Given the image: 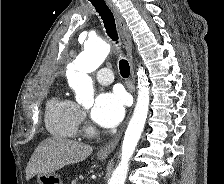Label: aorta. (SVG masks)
Returning a JSON list of instances; mask_svg holds the SVG:
<instances>
[{
	"instance_id": "762f6f07",
	"label": "aorta",
	"mask_w": 224,
	"mask_h": 184,
	"mask_svg": "<svg viewBox=\"0 0 224 184\" xmlns=\"http://www.w3.org/2000/svg\"><path fill=\"white\" fill-rule=\"evenodd\" d=\"M110 50L109 43L99 38L88 39L84 44V51L78 55L73 63L68 65L66 72L68 84L75 91L78 103L93 104V83L88 74L99 68ZM137 75L138 97L136 106L123 139L121 161L114 170L109 184L125 183L129 161L146 123L150 102L149 82L142 67H139Z\"/></svg>"
}]
</instances>
